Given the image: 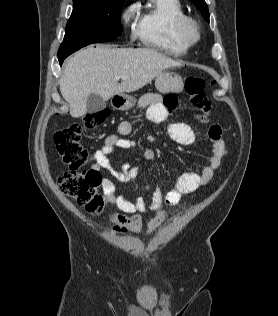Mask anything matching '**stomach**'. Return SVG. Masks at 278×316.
I'll use <instances>...</instances> for the list:
<instances>
[{
  "label": "stomach",
  "instance_id": "0dacf381",
  "mask_svg": "<svg viewBox=\"0 0 278 316\" xmlns=\"http://www.w3.org/2000/svg\"><path fill=\"white\" fill-rule=\"evenodd\" d=\"M156 89L162 93L180 92L183 89L182 77L173 72H161L155 79ZM135 98L126 94L114 95L111 99V105L116 110H128L135 105Z\"/></svg>",
  "mask_w": 278,
  "mask_h": 316
}]
</instances>
